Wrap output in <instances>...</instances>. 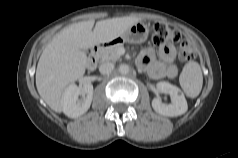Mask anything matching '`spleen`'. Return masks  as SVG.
Returning <instances> with one entry per match:
<instances>
[{
	"instance_id": "obj_1",
	"label": "spleen",
	"mask_w": 238,
	"mask_h": 158,
	"mask_svg": "<svg viewBox=\"0 0 238 158\" xmlns=\"http://www.w3.org/2000/svg\"><path fill=\"white\" fill-rule=\"evenodd\" d=\"M180 85L184 92L191 98L199 95L202 89L203 76L197 62H188L180 74Z\"/></svg>"
}]
</instances>
